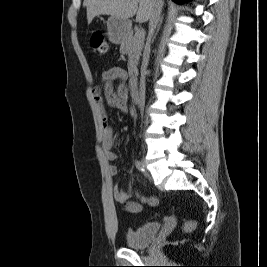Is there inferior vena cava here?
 I'll return each instance as SVG.
<instances>
[{"label": "inferior vena cava", "mask_w": 267, "mask_h": 267, "mask_svg": "<svg viewBox=\"0 0 267 267\" xmlns=\"http://www.w3.org/2000/svg\"><path fill=\"white\" fill-rule=\"evenodd\" d=\"M161 11H162V2L158 1L153 11V14L149 20V32H148L147 41H146L144 54H143L141 79H140V99L138 101L141 111L143 110L144 103H145V75H146V68H147L148 61H149L151 39L153 37L157 24L160 20Z\"/></svg>", "instance_id": "1"}]
</instances>
